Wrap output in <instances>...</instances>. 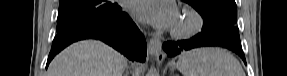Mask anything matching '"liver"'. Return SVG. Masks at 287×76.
<instances>
[{
	"mask_svg": "<svg viewBox=\"0 0 287 76\" xmlns=\"http://www.w3.org/2000/svg\"><path fill=\"white\" fill-rule=\"evenodd\" d=\"M127 60L97 40L76 42L50 63L47 76H123Z\"/></svg>",
	"mask_w": 287,
	"mask_h": 76,
	"instance_id": "obj_1",
	"label": "liver"
}]
</instances>
